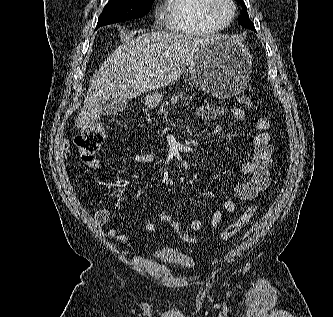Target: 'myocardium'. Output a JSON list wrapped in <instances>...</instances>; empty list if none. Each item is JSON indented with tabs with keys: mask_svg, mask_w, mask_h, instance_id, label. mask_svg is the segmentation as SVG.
<instances>
[{
	"mask_svg": "<svg viewBox=\"0 0 333 317\" xmlns=\"http://www.w3.org/2000/svg\"><path fill=\"white\" fill-rule=\"evenodd\" d=\"M221 2H225L230 6V14L227 17H222L218 11V6ZM205 13L214 22L223 25H229L236 16L237 7L234 0H206Z\"/></svg>",
	"mask_w": 333,
	"mask_h": 317,
	"instance_id": "obj_1",
	"label": "myocardium"
}]
</instances>
